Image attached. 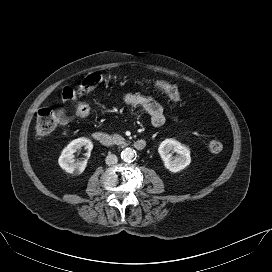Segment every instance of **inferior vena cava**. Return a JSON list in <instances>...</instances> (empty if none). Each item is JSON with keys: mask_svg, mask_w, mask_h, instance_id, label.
I'll use <instances>...</instances> for the list:
<instances>
[{"mask_svg": "<svg viewBox=\"0 0 272 272\" xmlns=\"http://www.w3.org/2000/svg\"><path fill=\"white\" fill-rule=\"evenodd\" d=\"M105 162L107 165H114L118 162V158L114 154H109V155H107Z\"/></svg>", "mask_w": 272, "mask_h": 272, "instance_id": "1", "label": "inferior vena cava"}]
</instances>
